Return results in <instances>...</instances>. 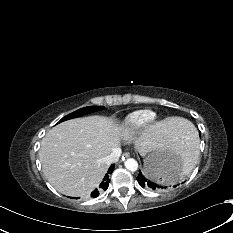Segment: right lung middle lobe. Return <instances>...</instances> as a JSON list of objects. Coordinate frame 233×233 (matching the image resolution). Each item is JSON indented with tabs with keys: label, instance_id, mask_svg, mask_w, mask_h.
I'll list each match as a JSON object with an SVG mask.
<instances>
[{
	"label": "right lung middle lobe",
	"instance_id": "right-lung-middle-lobe-1",
	"mask_svg": "<svg viewBox=\"0 0 233 233\" xmlns=\"http://www.w3.org/2000/svg\"><path fill=\"white\" fill-rule=\"evenodd\" d=\"M103 109V107L101 106H88V107H84V108H81L73 113H70L68 115H66L65 117H63L60 121V122H63V121H66V120H69V119H72V118H76V117H80V116H83L85 114H88V113H92V112H95V111H98V110H101Z\"/></svg>",
	"mask_w": 233,
	"mask_h": 233
}]
</instances>
